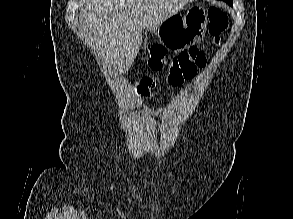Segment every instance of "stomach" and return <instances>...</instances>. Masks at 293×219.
Returning a JSON list of instances; mask_svg holds the SVG:
<instances>
[{"label":"stomach","mask_w":293,"mask_h":219,"mask_svg":"<svg viewBox=\"0 0 293 219\" xmlns=\"http://www.w3.org/2000/svg\"><path fill=\"white\" fill-rule=\"evenodd\" d=\"M206 29L205 9L200 6H192L184 16L175 14L165 19L153 33L165 47L179 52L202 41Z\"/></svg>","instance_id":"0dacf381"}]
</instances>
